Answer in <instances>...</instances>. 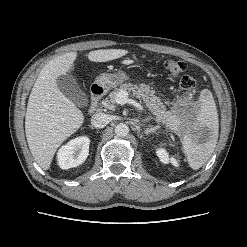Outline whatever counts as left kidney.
Masks as SVG:
<instances>
[{"mask_svg": "<svg viewBox=\"0 0 247 247\" xmlns=\"http://www.w3.org/2000/svg\"><path fill=\"white\" fill-rule=\"evenodd\" d=\"M157 156L159 157L160 161L167 164L168 162H171L173 165L177 166V161L174 158H169V155L167 151L164 148H158L157 151Z\"/></svg>", "mask_w": 247, "mask_h": 247, "instance_id": "obj_1", "label": "left kidney"}]
</instances>
